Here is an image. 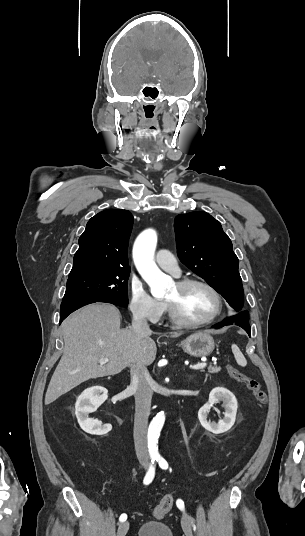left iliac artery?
Segmentation results:
<instances>
[{
  "label": "left iliac artery",
  "instance_id": "left-iliac-artery-1",
  "mask_svg": "<svg viewBox=\"0 0 305 536\" xmlns=\"http://www.w3.org/2000/svg\"><path fill=\"white\" fill-rule=\"evenodd\" d=\"M156 460L158 461L159 466L162 469H167L168 468V463L163 457L158 456ZM177 506L180 509H183L184 508V502L182 500H177ZM194 530H195V526H194Z\"/></svg>",
  "mask_w": 305,
  "mask_h": 536
}]
</instances>
